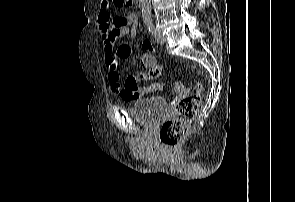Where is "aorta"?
I'll return each instance as SVG.
<instances>
[{
  "instance_id": "1",
  "label": "aorta",
  "mask_w": 295,
  "mask_h": 202,
  "mask_svg": "<svg viewBox=\"0 0 295 202\" xmlns=\"http://www.w3.org/2000/svg\"><path fill=\"white\" fill-rule=\"evenodd\" d=\"M141 10H142V16L143 19H150L151 18V5L150 0H139Z\"/></svg>"
}]
</instances>
